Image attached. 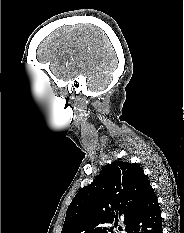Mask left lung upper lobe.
<instances>
[{
    "label": "left lung upper lobe",
    "instance_id": "1",
    "mask_svg": "<svg viewBox=\"0 0 184 233\" xmlns=\"http://www.w3.org/2000/svg\"><path fill=\"white\" fill-rule=\"evenodd\" d=\"M153 190L142 168L134 163L114 161L105 165L88 186L81 188L69 205L61 233H115L108 223L125 229ZM122 228H115V231Z\"/></svg>",
    "mask_w": 184,
    "mask_h": 233
}]
</instances>
